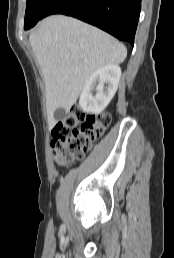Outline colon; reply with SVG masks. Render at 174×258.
Masks as SVG:
<instances>
[{
	"mask_svg": "<svg viewBox=\"0 0 174 258\" xmlns=\"http://www.w3.org/2000/svg\"><path fill=\"white\" fill-rule=\"evenodd\" d=\"M108 113L86 115L75 105L52 129V156L60 165L81 160L109 126Z\"/></svg>",
	"mask_w": 174,
	"mask_h": 258,
	"instance_id": "5ec220e1",
	"label": "colon"
}]
</instances>
